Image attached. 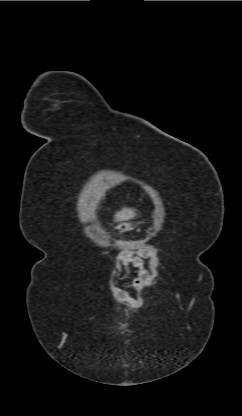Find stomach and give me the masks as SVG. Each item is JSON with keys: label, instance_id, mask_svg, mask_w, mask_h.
Masks as SVG:
<instances>
[{"label": "stomach", "instance_id": "1", "mask_svg": "<svg viewBox=\"0 0 242 416\" xmlns=\"http://www.w3.org/2000/svg\"><path fill=\"white\" fill-rule=\"evenodd\" d=\"M132 226H133L132 223L124 222V223L119 224L117 226V229L120 232H126V231H129V230H132V228H133Z\"/></svg>", "mask_w": 242, "mask_h": 416}]
</instances>
